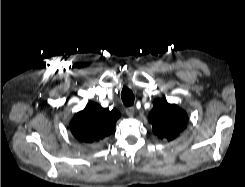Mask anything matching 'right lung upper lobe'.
Segmentation results:
<instances>
[{"label":"right lung upper lobe","instance_id":"cb5924a9","mask_svg":"<svg viewBox=\"0 0 245 187\" xmlns=\"http://www.w3.org/2000/svg\"><path fill=\"white\" fill-rule=\"evenodd\" d=\"M120 115L102 108L99 104H88L84 110L75 114L70 129L75 138L93 143L111 135Z\"/></svg>","mask_w":245,"mask_h":187}]
</instances>
